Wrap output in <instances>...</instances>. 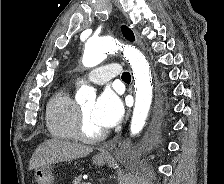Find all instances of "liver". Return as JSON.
I'll list each match as a JSON object with an SVG mask.
<instances>
[{
  "instance_id": "1",
  "label": "liver",
  "mask_w": 224,
  "mask_h": 184,
  "mask_svg": "<svg viewBox=\"0 0 224 184\" xmlns=\"http://www.w3.org/2000/svg\"><path fill=\"white\" fill-rule=\"evenodd\" d=\"M92 151V147L78 143L49 139L44 141L35 150L29 163V170L62 161L82 158L90 154Z\"/></svg>"
}]
</instances>
